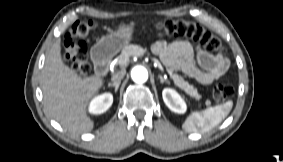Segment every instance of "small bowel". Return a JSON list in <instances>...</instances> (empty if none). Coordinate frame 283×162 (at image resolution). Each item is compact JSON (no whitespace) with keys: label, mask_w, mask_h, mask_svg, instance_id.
I'll return each mask as SVG.
<instances>
[{"label":"small bowel","mask_w":283,"mask_h":162,"mask_svg":"<svg viewBox=\"0 0 283 162\" xmlns=\"http://www.w3.org/2000/svg\"><path fill=\"white\" fill-rule=\"evenodd\" d=\"M152 50L165 66L184 72L200 84L208 85L222 77L229 68V61L222 55H213L188 41L167 43L157 41Z\"/></svg>","instance_id":"small-bowel-1"}]
</instances>
